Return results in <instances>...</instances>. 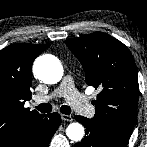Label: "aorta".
Instances as JSON below:
<instances>
[{
  "label": "aorta",
  "instance_id": "obj_1",
  "mask_svg": "<svg viewBox=\"0 0 147 147\" xmlns=\"http://www.w3.org/2000/svg\"><path fill=\"white\" fill-rule=\"evenodd\" d=\"M36 78L46 84H56L63 76V66L53 55L38 57L33 65ZM84 127L80 123H71L66 129V135L72 141H81L84 137Z\"/></svg>",
  "mask_w": 147,
  "mask_h": 147
}]
</instances>
